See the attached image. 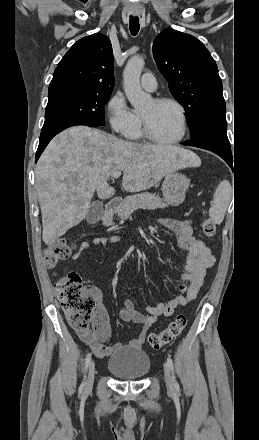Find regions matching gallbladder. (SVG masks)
Wrapping results in <instances>:
<instances>
[{
  "instance_id": "obj_1",
  "label": "gallbladder",
  "mask_w": 259,
  "mask_h": 440,
  "mask_svg": "<svg viewBox=\"0 0 259 440\" xmlns=\"http://www.w3.org/2000/svg\"><path fill=\"white\" fill-rule=\"evenodd\" d=\"M102 216L103 203L100 201H95L91 204L85 219L89 224H95L101 220Z\"/></svg>"
}]
</instances>
